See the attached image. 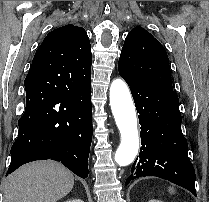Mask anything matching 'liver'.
Here are the masks:
<instances>
[{
	"label": "liver",
	"mask_w": 209,
	"mask_h": 202,
	"mask_svg": "<svg viewBox=\"0 0 209 202\" xmlns=\"http://www.w3.org/2000/svg\"><path fill=\"white\" fill-rule=\"evenodd\" d=\"M74 186L73 174L60 163L26 164L7 177L3 202H56Z\"/></svg>",
	"instance_id": "liver-1"
}]
</instances>
